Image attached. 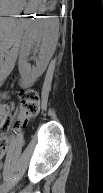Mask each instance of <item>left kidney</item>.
Listing matches in <instances>:
<instances>
[{"instance_id": "5707ae66", "label": "left kidney", "mask_w": 103, "mask_h": 193, "mask_svg": "<svg viewBox=\"0 0 103 193\" xmlns=\"http://www.w3.org/2000/svg\"><path fill=\"white\" fill-rule=\"evenodd\" d=\"M41 18L33 28L31 39L21 49L18 61L21 77L28 79L31 83L35 82L46 70L54 53L53 47L58 39V20L52 16ZM33 48L39 51V59L36 62V66L31 68L27 63V57Z\"/></svg>"}]
</instances>
